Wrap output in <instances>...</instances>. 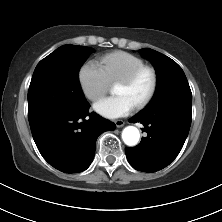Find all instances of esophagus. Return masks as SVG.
I'll list each match as a JSON object with an SVG mask.
<instances>
[{
	"label": "esophagus",
	"mask_w": 222,
	"mask_h": 222,
	"mask_svg": "<svg viewBox=\"0 0 222 222\" xmlns=\"http://www.w3.org/2000/svg\"><path fill=\"white\" fill-rule=\"evenodd\" d=\"M115 124L118 128H120V127H123L125 123L123 120H116Z\"/></svg>",
	"instance_id": "1"
}]
</instances>
